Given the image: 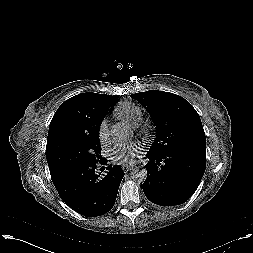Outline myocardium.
Segmentation results:
<instances>
[{"instance_id": "obj_1", "label": "myocardium", "mask_w": 253, "mask_h": 253, "mask_svg": "<svg viewBox=\"0 0 253 253\" xmlns=\"http://www.w3.org/2000/svg\"><path fill=\"white\" fill-rule=\"evenodd\" d=\"M139 132L145 137H150L152 135V126L150 124H144L139 128Z\"/></svg>"}]
</instances>
